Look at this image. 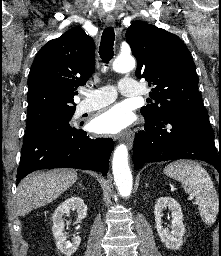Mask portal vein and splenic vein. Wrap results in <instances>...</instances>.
Instances as JSON below:
<instances>
[{
  "label": "portal vein and splenic vein",
  "mask_w": 221,
  "mask_h": 256,
  "mask_svg": "<svg viewBox=\"0 0 221 256\" xmlns=\"http://www.w3.org/2000/svg\"><path fill=\"white\" fill-rule=\"evenodd\" d=\"M192 199H193V197H192V196H190V197H189V200H192Z\"/></svg>",
  "instance_id": "1"
}]
</instances>
